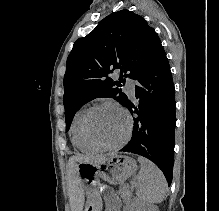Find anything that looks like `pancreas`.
I'll return each mask as SVG.
<instances>
[{"label": "pancreas", "instance_id": "cf45deb5", "mask_svg": "<svg viewBox=\"0 0 219 211\" xmlns=\"http://www.w3.org/2000/svg\"><path fill=\"white\" fill-rule=\"evenodd\" d=\"M131 189L124 187V185H122V187H120L119 189V193H121V197H123L124 201H129L130 199V195H131Z\"/></svg>", "mask_w": 219, "mask_h": 211}]
</instances>
